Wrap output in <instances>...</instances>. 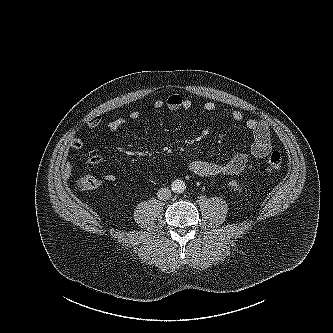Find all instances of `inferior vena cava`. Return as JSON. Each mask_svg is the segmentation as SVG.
I'll return each mask as SVG.
<instances>
[{
    "label": "inferior vena cava",
    "instance_id": "1",
    "mask_svg": "<svg viewBox=\"0 0 333 333\" xmlns=\"http://www.w3.org/2000/svg\"><path fill=\"white\" fill-rule=\"evenodd\" d=\"M171 190L168 188H160L157 192V196L160 200H168L171 198Z\"/></svg>",
    "mask_w": 333,
    "mask_h": 333
}]
</instances>
